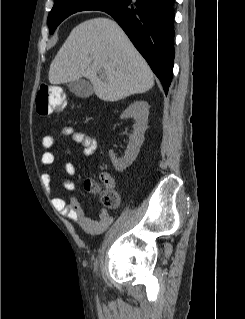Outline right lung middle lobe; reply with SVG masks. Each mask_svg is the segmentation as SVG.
I'll return each instance as SVG.
<instances>
[{"label": "right lung middle lobe", "mask_w": 245, "mask_h": 319, "mask_svg": "<svg viewBox=\"0 0 245 319\" xmlns=\"http://www.w3.org/2000/svg\"><path fill=\"white\" fill-rule=\"evenodd\" d=\"M123 0H54V6L48 16L47 23L52 34L56 27L68 16L78 11L114 9Z\"/></svg>", "instance_id": "1"}]
</instances>
